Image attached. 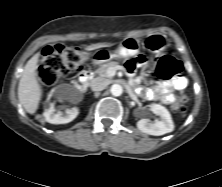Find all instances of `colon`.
I'll return each instance as SVG.
<instances>
[{
    "label": "colon",
    "instance_id": "5ec220e1",
    "mask_svg": "<svg viewBox=\"0 0 222 187\" xmlns=\"http://www.w3.org/2000/svg\"><path fill=\"white\" fill-rule=\"evenodd\" d=\"M84 54L77 48L63 45L49 46L45 49L38 68V76L45 86H53L64 75L74 73L83 68ZM137 64L144 68L148 66L145 58H139ZM182 69L180 61L171 56H162L155 63V73L161 79H170L178 76ZM188 96L181 95L174 104L179 113L187 110Z\"/></svg>",
    "mask_w": 222,
    "mask_h": 187
}]
</instances>
